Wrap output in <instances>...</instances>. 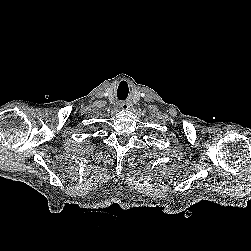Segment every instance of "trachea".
Returning <instances> with one entry per match:
<instances>
[{
	"mask_svg": "<svg viewBox=\"0 0 251 251\" xmlns=\"http://www.w3.org/2000/svg\"><path fill=\"white\" fill-rule=\"evenodd\" d=\"M123 99H125V98H122V97L119 96V100H123Z\"/></svg>",
	"mask_w": 251,
	"mask_h": 251,
	"instance_id": "3493384b",
	"label": "trachea"
}]
</instances>
